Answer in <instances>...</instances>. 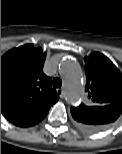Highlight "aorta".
I'll list each match as a JSON object with an SVG mask.
<instances>
[{"mask_svg": "<svg viewBox=\"0 0 122 154\" xmlns=\"http://www.w3.org/2000/svg\"><path fill=\"white\" fill-rule=\"evenodd\" d=\"M59 71L64 79L67 100L71 103L79 101L84 94L79 64L66 58L59 64Z\"/></svg>", "mask_w": 122, "mask_h": 154, "instance_id": "762f6f07", "label": "aorta"}]
</instances>
